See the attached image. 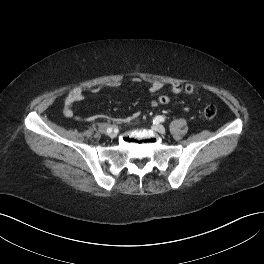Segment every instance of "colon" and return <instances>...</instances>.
Returning a JSON list of instances; mask_svg holds the SVG:
<instances>
[{"instance_id":"5ec220e1","label":"colon","mask_w":264,"mask_h":264,"mask_svg":"<svg viewBox=\"0 0 264 264\" xmlns=\"http://www.w3.org/2000/svg\"><path fill=\"white\" fill-rule=\"evenodd\" d=\"M183 89L187 94H192L195 91V88L192 84L185 85ZM157 102L160 105H168L170 103V98L166 95H161L158 97ZM216 114H217V109L214 105H207L202 110V115L207 119L214 118Z\"/></svg>"}]
</instances>
